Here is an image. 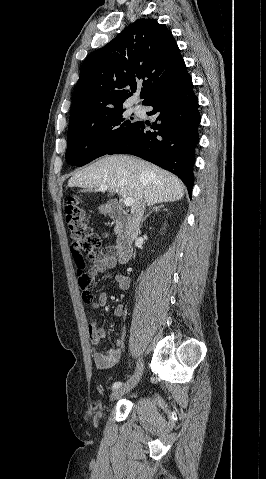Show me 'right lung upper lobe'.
Returning a JSON list of instances; mask_svg holds the SVG:
<instances>
[{
  "instance_id": "1",
  "label": "right lung upper lobe",
  "mask_w": 266,
  "mask_h": 479,
  "mask_svg": "<svg viewBox=\"0 0 266 479\" xmlns=\"http://www.w3.org/2000/svg\"><path fill=\"white\" fill-rule=\"evenodd\" d=\"M186 74L172 33L155 19H138L85 59L69 121L122 108L140 85L144 103Z\"/></svg>"
}]
</instances>
